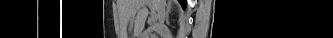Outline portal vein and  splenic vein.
I'll use <instances>...</instances> for the list:
<instances>
[{
    "mask_svg": "<svg viewBox=\"0 0 333 38\" xmlns=\"http://www.w3.org/2000/svg\"><path fill=\"white\" fill-rule=\"evenodd\" d=\"M157 18H158V16H157L156 12L153 10V8H151V17H150L151 21L155 22L157 20Z\"/></svg>",
    "mask_w": 333,
    "mask_h": 38,
    "instance_id": "1",
    "label": "portal vein and splenic vein"
}]
</instances>
